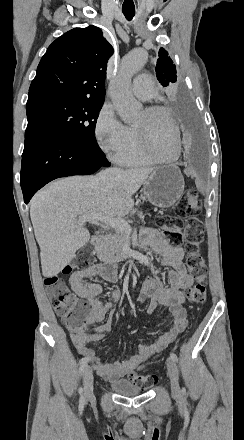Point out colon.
Returning <instances> with one entry per match:
<instances>
[{"mask_svg": "<svg viewBox=\"0 0 244 440\" xmlns=\"http://www.w3.org/2000/svg\"><path fill=\"white\" fill-rule=\"evenodd\" d=\"M201 202L197 198L194 189H189L185 197L176 205L172 215L163 213L158 215V226L166 231L171 245L183 246L186 252L185 264L194 280V285L187 291L189 300L196 304H204L207 293V269L200 254V244L204 237V226L199 218ZM72 264L68 265L64 272H84L89 257L94 251L92 248H78ZM48 290L51 301L57 315L67 322L74 330L82 331L87 314H91V305L79 302L73 292L65 285L59 275H48L43 280ZM129 380L139 386L150 387L157 381L156 373H131Z\"/></svg>", "mask_w": 244, "mask_h": 440, "instance_id": "colon-1", "label": "colon"}]
</instances>
